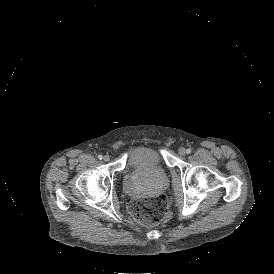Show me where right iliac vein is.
Returning a JSON list of instances; mask_svg holds the SVG:
<instances>
[{"label":"right iliac vein","mask_w":274,"mask_h":274,"mask_svg":"<svg viewBox=\"0 0 274 274\" xmlns=\"http://www.w3.org/2000/svg\"><path fill=\"white\" fill-rule=\"evenodd\" d=\"M103 160H104L105 162H108V161L110 160V156H109L108 154L104 155V156H103Z\"/></svg>","instance_id":"1"}]
</instances>
